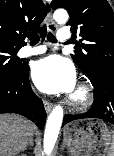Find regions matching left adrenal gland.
Returning <instances> with one entry per match:
<instances>
[{"instance_id": "1", "label": "left adrenal gland", "mask_w": 114, "mask_h": 156, "mask_svg": "<svg viewBox=\"0 0 114 156\" xmlns=\"http://www.w3.org/2000/svg\"><path fill=\"white\" fill-rule=\"evenodd\" d=\"M64 148H65V143L63 142L60 149L64 150Z\"/></svg>"}]
</instances>
